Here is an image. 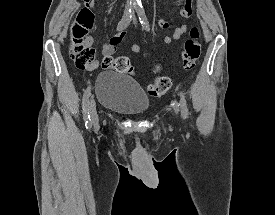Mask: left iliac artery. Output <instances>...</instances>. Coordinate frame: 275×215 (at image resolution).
<instances>
[{"instance_id": "44dca946", "label": "left iliac artery", "mask_w": 275, "mask_h": 215, "mask_svg": "<svg viewBox=\"0 0 275 215\" xmlns=\"http://www.w3.org/2000/svg\"><path fill=\"white\" fill-rule=\"evenodd\" d=\"M136 10H137L139 20H140V23H141L143 29L149 31L148 20L146 18L145 11H144L143 7L139 6V7L136 8ZM179 105H180V108H181L182 117L184 119L188 118L187 103H186L185 97L182 94H180V104Z\"/></svg>"}]
</instances>
